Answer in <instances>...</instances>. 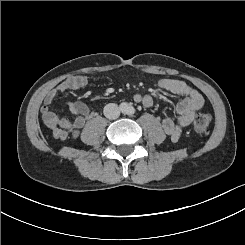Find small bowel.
<instances>
[{
    "label": "small bowel",
    "instance_id": "obj_1",
    "mask_svg": "<svg viewBox=\"0 0 245 245\" xmlns=\"http://www.w3.org/2000/svg\"><path fill=\"white\" fill-rule=\"evenodd\" d=\"M86 83L87 78L85 76H72L60 82L45 95L41 107V117L44 124L51 129L55 138L60 140H65L69 137L77 138L80 129L85 125L87 120L96 115L95 112L91 111L87 105L80 101L65 103V106L75 115L73 119L60 118L50 110V106L58 94L68 90H78L84 87ZM157 85L163 91L184 97L176 106L177 116L175 118L167 116L162 120L164 132L173 142H177L182 130L192 122L195 113L203 107V96L186 82L178 79H161ZM134 100L136 103L146 107L153 105V98L150 95L135 94Z\"/></svg>",
    "mask_w": 245,
    "mask_h": 245
}]
</instances>
